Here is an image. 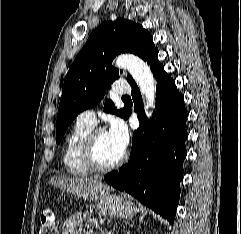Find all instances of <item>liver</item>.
Returning a JSON list of instances; mask_svg holds the SVG:
<instances>
[{"label": "liver", "instance_id": "1", "mask_svg": "<svg viewBox=\"0 0 241 234\" xmlns=\"http://www.w3.org/2000/svg\"><path fill=\"white\" fill-rule=\"evenodd\" d=\"M49 184L76 197L87 200L98 199L109 193L111 187L96 178L53 176Z\"/></svg>", "mask_w": 241, "mask_h": 234}]
</instances>
